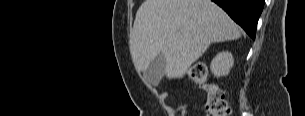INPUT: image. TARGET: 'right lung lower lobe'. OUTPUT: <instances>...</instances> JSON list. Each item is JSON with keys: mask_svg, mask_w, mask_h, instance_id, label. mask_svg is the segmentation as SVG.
<instances>
[{"mask_svg": "<svg viewBox=\"0 0 305 116\" xmlns=\"http://www.w3.org/2000/svg\"><path fill=\"white\" fill-rule=\"evenodd\" d=\"M212 1L222 7L252 39H255L257 22L264 7V0Z\"/></svg>", "mask_w": 305, "mask_h": 116, "instance_id": "98d812e1", "label": "right lung lower lobe"}]
</instances>
